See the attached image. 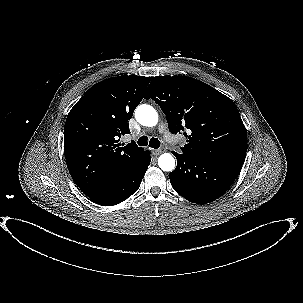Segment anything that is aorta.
<instances>
[{"label":"aorta","mask_w":303,"mask_h":303,"mask_svg":"<svg viewBox=\"0 0 303 303\" xmlns=\"http://www.w3.org/2000/svg\"><path fill=\"white\" fill-rule=\"evenodd\" d=\"M136 120L143 126L153 127L158 123V113L150 105L142 104L135 110ZM158 165L163 171H172L175 168V159L170 153H164L158 158Z\"/></svg>","instance_id":"obj_1"}]
</instances>
